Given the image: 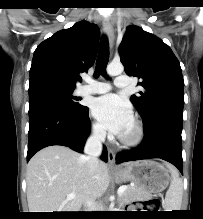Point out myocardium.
Listing matches in <instances>:
<instances>
[{"mask_svg":"<svg viewBox=\"0 0 203 219\" xmlns=\"http://www.w3.org/2000/svg\"><path fill=\"white\" fill-rule=\"evenodd\" d=\"M144 138V128L138 119L132 120V133L128 136H118L119 143L127 148L136 147L141 144Z\"/></svg>","mask_w":203,"mask_h":219,"instance_id":"myocardium-1","label":"myocardium"}]
</instances>
